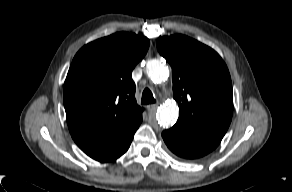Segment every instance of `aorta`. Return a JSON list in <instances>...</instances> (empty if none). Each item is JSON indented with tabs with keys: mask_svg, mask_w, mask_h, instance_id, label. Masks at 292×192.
<instances>
[{
	"mask_svg": "<svg viewBox=\"0 0 292 192\" xmlns=\"http://www.w3.org/2000/svg\"><path fill=\"white\" fill-rule=\"evenodd\" d=\"M146 71L154 82H161L169 77L168 66L158 59L148 61ZM178 115V106L175 103H168L158 109L156 119L161 126L169 127L176 122Z\"/></svg>",
	"mask_w": 292,
	"mask_h": 192,
	"instance_id": "aorta-1",
	"label": "aorta"
}]
</instances>
